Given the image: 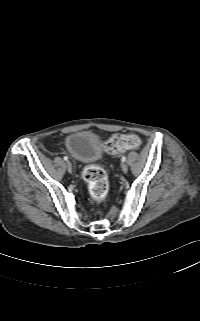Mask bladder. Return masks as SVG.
I'll return each instance as SVG.
<instances>
[{
	"mask_svg": "<svg viewBox=\"0 0 200 321\" xmlns=\"http://www.w3.org/2000/svg\"><path fill=\"white\" fill-rule=\"evenodd\" d=\"M65 147L75 160L90 163L100 159L103 145L99 137L92 131L81 130L68 134Z\"/></svg>",
	"mask_w": 200,
	"mask_h": 321,
	"instance_id": "obj_1",
	"label": "bladder"
}]
</instances>
